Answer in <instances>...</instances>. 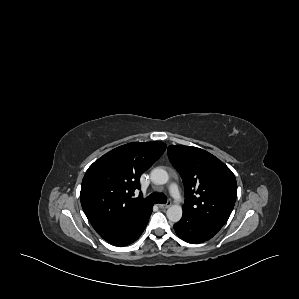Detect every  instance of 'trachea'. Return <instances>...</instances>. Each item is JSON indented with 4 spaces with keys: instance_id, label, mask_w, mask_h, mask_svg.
<instances>
[{
    "instance_id": "1",
    "label": "trachea",
    "mask_w": 299,
    "mask_h": 299,
    "mask_svg": "<svg viewBox=\"0 0 299 299\" xmlns=\"http://www.w3.org/2000/svg\"><path fill=\"white\" fill-rule=\"evenodd\" d=\"M146 200L151 203H160L165 204L167 202V198L163 195L152 193L148 197H146Z\"/></svg>"
}]
</instances>
